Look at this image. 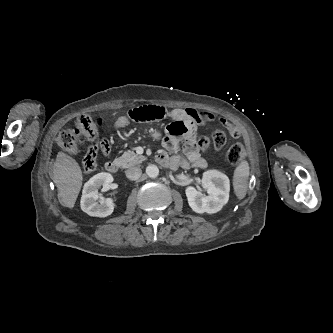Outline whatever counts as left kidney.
I'll list each match as a JSON object with an SVG mask.
<instances>
[{"label": "left kidney", "instance_id": "5707ae66", "mask_svg": "<svg viewBox=\"0 0 333 333\" xmlns=\"http://www.w3.org/2000/svg\"><path fill=\"white\" fill-rule=\"evenodd\" d=\"M201 184L208 195L192 186H188L185 190L191 209L199 214L220 211L229 199V178L220 171L207 170L202 176Z\"/></svg>", "mask_w": 333, "mask_h": 333}]
</instances>
